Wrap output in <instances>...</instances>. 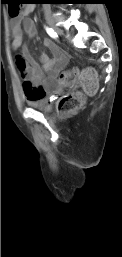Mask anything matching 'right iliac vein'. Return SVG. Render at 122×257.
I'll use <instances>...</instances> for the list:
<instances>
[{
	"label": "right iliac vein",
	"mask_w": 122,
	"mask_h": 257,
	"mask_svg": "<svg viewBox=\"0 0 122 257\" xmlns=\"http://www.w3.org/2000/svg\"><path fill=\"white\" fill-rule=\"evenodd\" d=\"M46 21L48 23V25L54 29L57 33L62 34L63 30L61 28H59L56 24L55 21L53 20V18L51 17H46Z\"/></svg>",
	"instance_id": "1"
}]
</instances>
